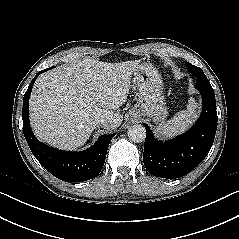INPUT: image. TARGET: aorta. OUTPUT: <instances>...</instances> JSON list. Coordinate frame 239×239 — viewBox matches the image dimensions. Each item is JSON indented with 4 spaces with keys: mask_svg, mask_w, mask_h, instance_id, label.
<instances>
[{
    "mask_svg": "<svg viewBox=\"0 0 239 239\" xmlns=\"http://www.w3.org/2000/svg\"><path fill=\"white\" fill-rule=\"evenodd\" d=\"M128 137L131 141L140 143L146 138V130L143 125L135 124L128 129Z\"/></svg>",
    "mask_w": 239,
    "mask_h": 239,
    "instance_id": "aorta-1",
    "label": "aorta"
}]
</instances>
